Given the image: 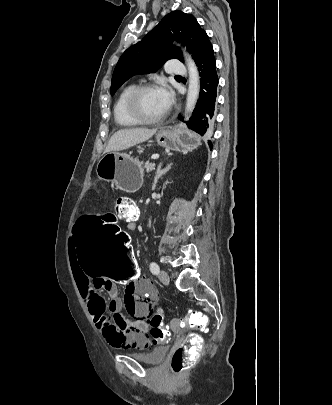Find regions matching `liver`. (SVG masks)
Masks as SVG:
<instances>
[{"label": "liver", "instance_id": "6515ba94", "mask_svg": "<svg viewBox=\"0 0 332 405\" xmlns=\"http://www.w3.org/2000/svg\"><path fill=\"white\" fill-rule=\"evenodd\" d=\"M157 131V128H131L122 129L114 133L105 148V153L128 149L134 145L150 139Z\"/></svg>", "mask_w": 332, "mask_h": 405}]
</instances>
